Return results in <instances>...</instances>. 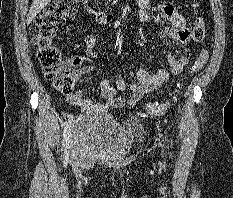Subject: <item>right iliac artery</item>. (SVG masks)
I'll return each mask as SVG.
<instances>
[{"label":"right iliac artery","instance_id":"82829eb1","mask_svg":"<svg viewBox=\"0 0 233 198\" xmlns=\"http://www.w3.org/2000/svg\"><path fill=\"white\" fill-rule=\"evenodd\" d=\"M70 125H71V122L68 121L63 131L62 150H65V157L67 158L69 156L68 149H69Z\"/></svg>","mask_w":233,"mask_h":198}]
</instances>
